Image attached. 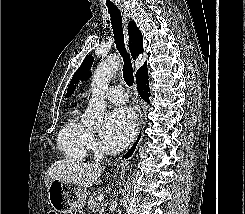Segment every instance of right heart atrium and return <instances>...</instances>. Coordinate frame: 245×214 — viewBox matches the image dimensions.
<instances>
[{
  "label": "right heart atrium",
  "instance_id": "right-heart-atrium-1",
  "mask_svg": "<svg viewBox=\"0 0 245 214\" xmlns=\"http://www.w3.org/2000/svg\"><path fill=\"white\" fill-rule=\"evenodd\" d=\"M98 141H97V139L95 138V136H93V135H90V137H89V148L92 150V151H94V152H96L97 150H98Z\"/></svg>",
  "mask_w": 245,
  "mask_h": 214
}]
</instances>
